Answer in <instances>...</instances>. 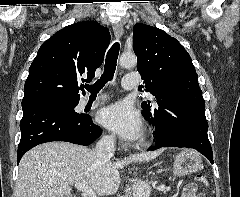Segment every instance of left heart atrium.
Returning <instances> with one entry per match:
<instances>
[{"mask_svg": "<svg viewBox=\"0 0 240 197\" xmlns=\"http://www.w3.org/2000/svg\"><path fill=\"white\" fill-rule=\"evenodd\" d=\"M100 121L107 129L128 140L137 139L143 130L139 111L128 101H120L106 107Z\"/></svg>", "mask_w": 240, "mask_h": 197, "instance_id": "39dd6f15", "label": "left heart atrium"}]
</instances>
